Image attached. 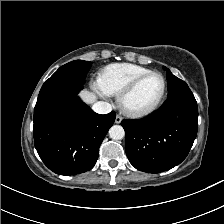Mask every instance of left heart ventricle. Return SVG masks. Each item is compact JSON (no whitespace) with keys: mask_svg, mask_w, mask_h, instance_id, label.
Listing matches in <instances>:
<instances>
[{"mask_svg":"<svg viewBox=\"0 0 224 224\" xmlns=\"http://www.w3.org/2000/svg\"><path fill=\"white\" fill-rule=\"evenodd\" d=\"M161 91V78L159 76L148 77L126 98L125 104L131 109L147 108L157 100Z\"/></svg>","mask_w":224,"mask_h":224,"instance_id":"left-heart-ventricle-1","label":"left heart ventricle"}]
</instances>
